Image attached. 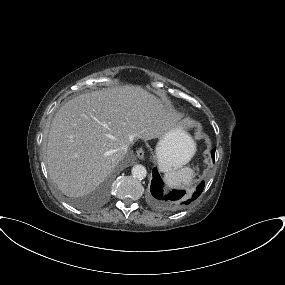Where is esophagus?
I'll return each mask as SVG.
<instances>
[{"label": "esophagus", "instance_id": "esophagus-1", "mask_svg": "<svg viewBox=\"0 0 285 285\" xmlns=\"http://www.w3.org/2000/svg\"><path fill=\"white\" fill-rule=\"evenodd\" d=\"M136 153H137V157L139 159H143V157H144V150L142 148H139Z\"/></svg>", "mask_w": 285, "mask_h": 285}]
</instances>
